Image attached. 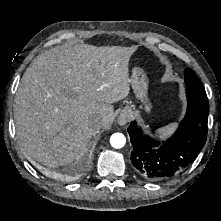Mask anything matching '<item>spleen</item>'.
<instances>
[{
  "mask_svg": "<svg viewBox=\"0 0 221 221\" xmlns=\"http://www.w3.org/2000/svg\"><path fill=\"white\" fill-rule=\"evenodd\" d=\"M177 123H171L156 130V135L160 137L170 136L176 129Z\"/></svg>",
  "mask_w": 221,
  "mask_h": 221,
  "instance_id": "obj_1",
  "label": "spleen"
}]
</instances>
